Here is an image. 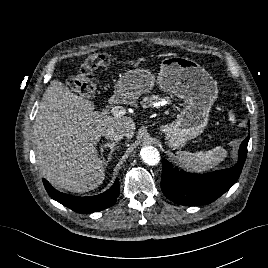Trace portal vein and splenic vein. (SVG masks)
Wrapping results in <instances>:
<instances>
[{"label":"portal vein and splenic vein","instance_id":"1","mask_svg":"<svg viewBox=\"0 0 268 268\" xmlns=\"http://www.w3.org/2000/svg\"><path fill=\"white\" fill-rule=\"evenodd\" d=\"M110 112H111V114L113 116L118 117V116L125 115L126 114V109L124 107H122V106H114V107L111 108Z\"/></svg>","mask_w":268,"mask_h":268}]
</instances>
